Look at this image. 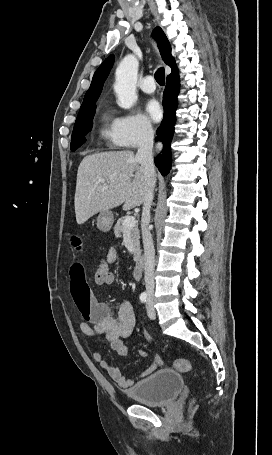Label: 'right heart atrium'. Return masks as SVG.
<instances>
[{"instance_id": "right-heart-atrium-1", "label": "right heart atrium", "mask_w": 272, "mask_h": 455, "mask_svg": "<svg viewBox=\"0 0 272 455\" xmlns=\"http://www.w3.org/2000/svg\"><path fill=\"white\" fill-rule=\"evenodd\" d=\"M116 140L119 146L135 148L150 141L154 130L149 119L139 113H127L114 120Z\"/></svg>"}]
</instances>
